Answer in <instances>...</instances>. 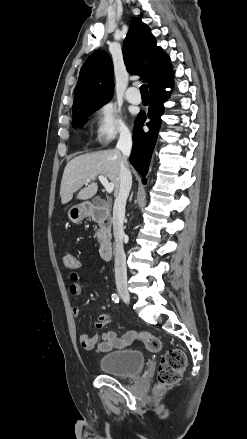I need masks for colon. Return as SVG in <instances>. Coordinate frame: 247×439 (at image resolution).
Here are the masks:
<instances>
[{
	"label": "colon",
	"instance_id": "5ec220e1",
	"mask_svg": "<svg viewBox=\"0 0 247 439\" xmlns=\"http://www.w3.org/2000/svg\"><path fill=\"white\" fill-rule=\"evenodd\" d=\"M64 264L70 269H79L82 267V263L73 254H66L64 256ZM138 338L144 343L145 347L150 352L156 353L162 348V340L155 335L141 332L139 333ZM186 363L187 358L182 350H168L162 356L159 364L157 389L162 390L176 384L182 376Z\"/></svg>",
	"mask_w": 247,
	"mask_h": 439
}]
</instances>
